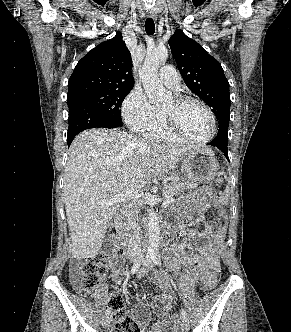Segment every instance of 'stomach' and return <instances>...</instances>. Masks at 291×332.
<instances>
[{
    "label": "stomach",
    "instance_id": "stomach-1",
    "mask_svg": "<svg viewBox=\"0 0 291 332\" xmlns=\"http://www.w3.org/2000/svg\"><path fill=\"white\" fill-rule=\"evenodd\" d=\"M180 167L184 175L196 182L210 183L219 172V165L214 152L208 147H202L188 151L180 159ZM197 210L204 209L208 197L205 189H201L187 196Z\"/></svg>",
    "mask_w": 291,
    "mask_h": 332
}]
</instances>
